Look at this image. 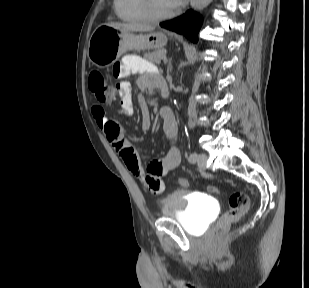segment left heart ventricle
Here are the masks:
<instances>
[{"mask_svg":"<svg viewBox=\"0 0 309 288\" xmlns=\"http://www.w3.org/2000/svg\"><path fill=\"white\" fill-rule=\"evenodd\" d=\"M155 7L160 13H166L174 9L169 0H154Z\"/></svg>","mask_w":309,"mask_h":288,"instance_id":"left-heart-ventricle-1","label":"left heart ventricle"}]
</instances>
